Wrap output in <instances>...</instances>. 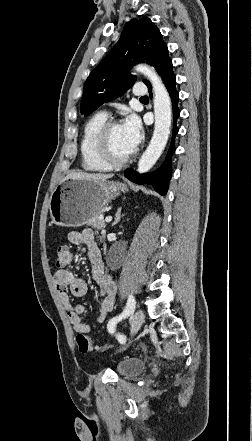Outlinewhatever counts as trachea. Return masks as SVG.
<instances>
[{"mask_svg":"<svg viewBox=\"0 0 252 441\" xmlns=\"http://www.w3.org/2000/svg\"><path fill=\"white\" fill-rule=\"evenodd\" d=\"M146 99H148L147 96H143V97L140 98V100H146Z\"/></svg>","mask_w":252,"mask_h":441,"instance_id":"3493384b","label":"trachea"}]
</instances>
